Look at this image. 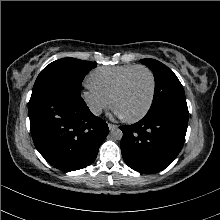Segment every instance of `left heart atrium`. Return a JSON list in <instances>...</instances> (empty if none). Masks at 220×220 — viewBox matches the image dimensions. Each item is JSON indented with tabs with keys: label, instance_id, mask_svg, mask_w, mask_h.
Masks as SVG:
<instances>
[{
	"label": "left heart atrium",
	"instance_id": "39dd6f15",
	"mask_svg": "<svg viewBox=\"0 0 220 220\" xmlns=\"http://www.w3.org/2000/svg\"><path fill=\"white\" fill-rule=\"evenodd\" d=\"M113 114L118 118H124V115L122 114V112L116 107H114L113 109Z\"/></svg>",
	"mask_w": 220,
	"mask_h": 220
}]
</instances>
